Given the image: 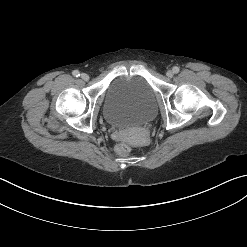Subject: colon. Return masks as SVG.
Listing matches in <instances>:
<instances>
[{"label":"colon","instance_id":"1","mask_svg":"<svg viewBox=\"0 0 247 247\" xmlns=\"http://www.w3.org/2000/svg\"><path fill=\"white\" fill-rule=\"evenodd\" d=\"M130 151H131V146L128 143H120L116 146V152L121 156L128 155Z\"/></svg>","mask_w":247,"mask_h":247}]
</instances>
